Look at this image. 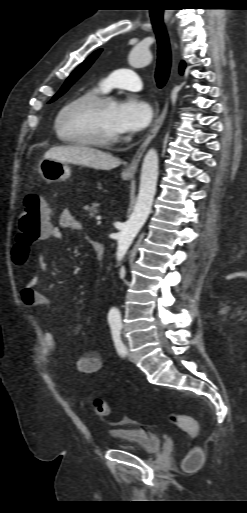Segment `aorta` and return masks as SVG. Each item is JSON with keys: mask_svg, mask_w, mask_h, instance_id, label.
<instances>
[{"mask_svg": "<svg viewBox=\"0 0 247 513\" xmlns=\"http://www.w3.org/2000/svg\"><path fill=\"white\" fill-rule=\"evenodd\" d=\"M151 53L142 44L135 46L129 54V63L132 67L141 68L151 62ZM158 154L155 149H150L143 159L140 177L139 194L129 220L124 224L118 236L117 259L120 261L125 256L135 236L146 222L152 208L158 179ZM121 318L117 308L109 312V319L119 321Z\"/></svg>", "mask_w": 247, "mask_h": 513, "instance_id": "1", "label": "aorta"}]
</instances>
